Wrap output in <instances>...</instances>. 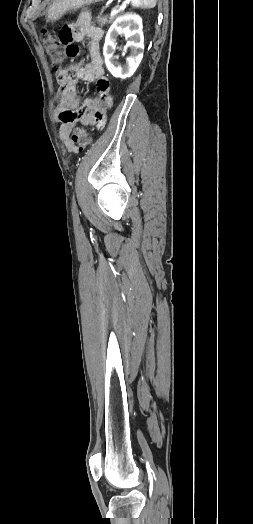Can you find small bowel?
Masks as SVG:
<instances>
[{"instance_id":"obj_1","label":"small bowel","mask_w":253,"mask_h":524,"mask_svg":"<svg viewBox=\"0 0 253 524\" xmlns=\"http://www.w3.org/2000/svg\"><path fill=\"white\" fill-rule=\"evenodd\" d=\"M88 38L90 62H79L59 69L56 72L60 85L57 94L56 115L60 123L59 135L68 150H72L70 133L77 123L92 125L102 129L107 125V110L116 103V98L110 86V80L105 77L103 59L100 53V43L103 37L101 28L91 22L89 15L80 16L73 24H62L58 31V41L64 45V59L74 62L82 55L78 41ZM84 80L95 84L94 91L80 103L77 94V81ZM64 114V117L61 115Z\"/></svg>"}]
</instances>
